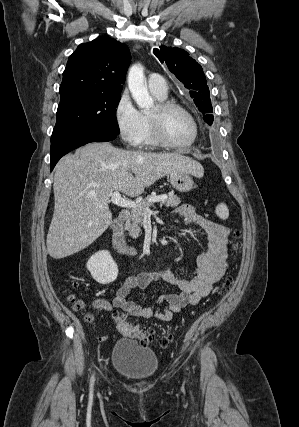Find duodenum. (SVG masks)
I'll use <instances>...</instances> for the list:
<instances>
[{
	"instance_id": "1",
	"label": "duodenum",
	"mask_w": 299,
	"mask_h": 427,
	"mask_svg": "<svg viewBox=\"0 0 299 427\" xmlns=\"http://www.w3.org/2000/svg\"><path fill=\"white\" fill-rule=\"evenodd\" d=\"M130 213L127 210H123L119 213L117 219L111 226V238L114 247L125 256H135L136 250L131 246L124 234V224L129 220Z\"/></svg>"
}]
</instances>
